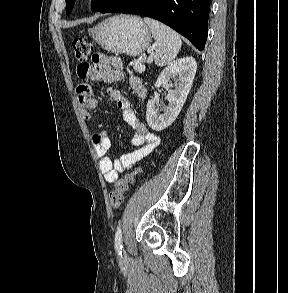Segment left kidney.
<instances>
[{
    "label": "left kidney",
    "instance_id": "5707ae66",
    "mask_svg": "<svg viewBox=\"0 0 288 293\" xmlns=\"http://www.w3.org/2000/svg\"><path fill=\"white\" fill-rule=\"evenodd\" d=\"M197 70V63L192 57L178 59L169 64L158 76L155 88L163 85L174 86V90L168 91L166 99L168 105L160 114L157 110V99H151L147 103L146 120L149 127L155 131H161L170 126L179 115L190 89ZM174 79L172 84L171 80Z\"/></svg>",
    "mask_w": 288,
    "mask_h": 293
}]
</instances>
